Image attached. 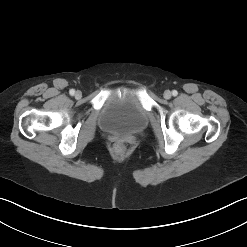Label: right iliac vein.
I'll return each mask as SVG.
<instances>
[{
  "instance_id": "right-iliac-vein-1",
  "label": "right iliac vein",
  "mask_w": 247,
  "mask_h": 247,
  "mask_svg": "<svg viewBox=\"0 0 247 247\" xmlns=\"http://www.w3.org/2000/svg\"><path fill=\"white\" fill-rule=\"evenodd\" d=\"M81 96H82L81 91H76V93H75V98L80 99Z\"/></svg>"
}]
</instances>
